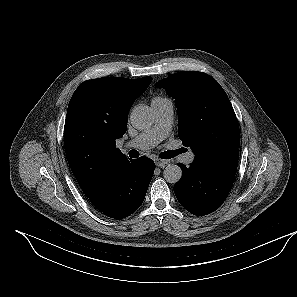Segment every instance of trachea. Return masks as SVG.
<instances>
[{"label":"trachea","instance_id":"obj_1","mask_svg":"<svg viewBox=\"0 0 297 297\" xmlns=\"http://www.w3.org/2000/svg\"><path fill=\"white\" fill-rule=\"evenodd\" d=\"M181 150H177V151H165L163 153L160 154V157L163 158V159H170V158H173L175 157L178 153H180ZM138 152L136 150H132L129 152V156L131 158H136L138 156L137 154Z\"/></svg>","mask_w":297,"mask_h":297}]
</instances>
